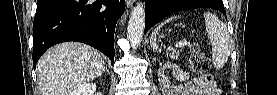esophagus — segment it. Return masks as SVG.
<instances>
[{
  "label": "esophagus",
  "instance_id": "obj_1",
  "mask_svg": "<svg viewBox=\"0 0 277 95\" xmlns=\"http://www.w3.org/2000/svg\"><path fill=\"white\" fill-rule=\"evenodd\" d=\"M134 0H126V5L128 8H131L133 6Z\"/></svg>",
  "mask_w": 277,
  "mask_h": 95
}]
</instances>
